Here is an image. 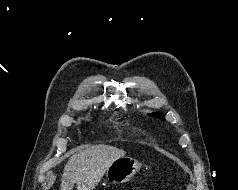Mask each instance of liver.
Masks as SVG:
<instances>
[{"mask_svg":"<svg viewBox=\"0 0 238 190\" xmlns=\"http://www.w3.org/2000/svg\"><path fill=\"white\" fill-rule=\"evenodd\" d=\"M122 149L108 145L86 147L72 155L65 165L61 179V190H94L110 165L124 157Z\"/></svg>","mask_w":238,"mask_h":190,"instance_id":"1","label":"liver"}]
</instances>
